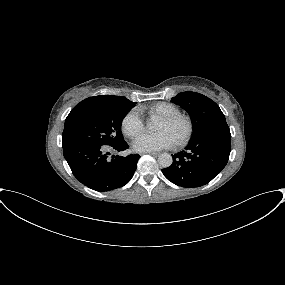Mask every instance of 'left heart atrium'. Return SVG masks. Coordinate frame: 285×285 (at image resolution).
I'll list each match as a JSON object with an SVG mask.
<instances>
[{
	"label": "left heart atrium",
	"mask_w": 285,
	"mask_h": 285,
	"mask_svg": "<svg viewBox=\"0 0 285 285\" xmlns=\"http://www.w3.org/2000/svg\"><path fill=\"white\" fill-rule=\"evenodd\" d=\"M174 145V141L164 132L138 136L133 142V149L137 152H151L170 148Z\"/></svg>",
	"instance_id": "1"
}]
</instances>
